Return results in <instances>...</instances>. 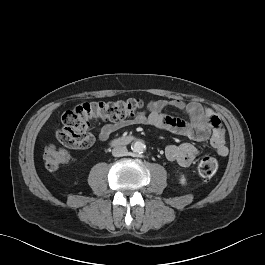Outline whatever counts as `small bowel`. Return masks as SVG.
I'll return each instance as SVG.
<instances>
[{
    "instance_id": "c3829d8e",
    "label": "small bowel",
    "mask_w": 265,
    "mask_h": 265,
    "mask_svg": "<svg viewBox=\"0 0 265 265\" xmlns=\"http://www.w3.org/2000/svg\"><path fill=\"white\" fill-rule=\"evenodd\" d=\"M175 108L188 117V121L168 116L163 113L166 108ZM218 117L208 109L196 102H185L179 99H158L152 100L147 104V110L137 116L119 122H111L103 125L98 130V139L106 141L110 136L129 125L145 124L173 133L185 135L194 141H210L220 156H226L228 149L224 143L223 133L219 128L213 127L211 121ZM94 138L91 136L87 144L83 146L67 145L73 149H83L91 146ZM197 147L190 142L181 144H171L165 149V156L171 162H176L180 166H190L196 155Z\"/></svg>"
}]
</instances>
